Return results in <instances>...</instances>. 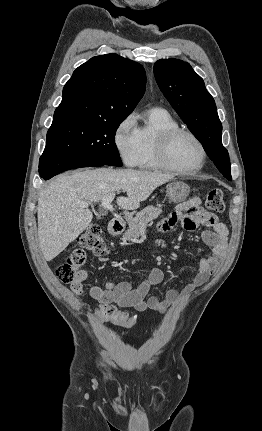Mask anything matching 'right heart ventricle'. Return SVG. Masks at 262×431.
<instances>
[{
    "instance_id": "obj_1",
    "label": "right heart ventricle",
    "mask_w": 262,
    "mask_h": 431,
    "mask_svg": "<svg viewBox=\"0 0 262 431\" xmlns=\"http://www.w3.org/2000/svg\"><path fill=\"white\" fill-rule=\"evenodd\" d=\"M178 127L176 120L164 109L153 107L146 112L144 123L137 126L139 143L137 165L143 169H163L158 162L156 148L159 134Z\"/></svg>"
}]
</instances>
